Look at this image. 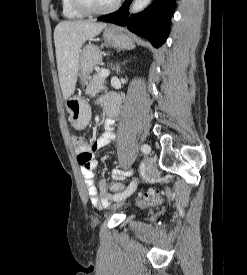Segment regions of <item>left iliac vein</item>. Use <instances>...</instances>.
I'll return each instance as SVG.
<instances>
[{"instance_id": "left-iliac-vein-1", "label": "left iliac vein", "mask_w": 247, "mask_h": 275, "mask_svg": "<svg viewBox=\"0 0 247 275\" xmlns=\"http://www.w3.org/2000/svg\"><path fill=\"white\" fill-rule=\"evenodd\" d=\"M146 174L148 177H153L156 174V160L152 157H148L146 159ZM127 190H125L124 192H126ZM133 193V192H132ZM132 193H127V196L125 198H123L122 200L116 201L114 208H119L122 204L123 201Z\"/></svg>"}]
</instances>
